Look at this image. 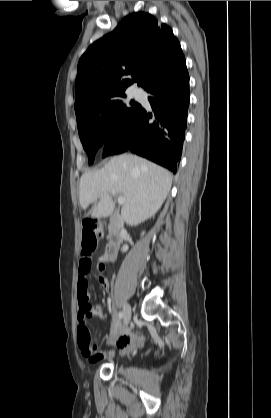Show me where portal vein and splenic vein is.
I'll use <instances>...</instances> for the list:
<instances>
[{
    "label": "portal vein and splenic vein",
    "instance_id": "obj_1",
    "mask_svg": "<svg viewBox=\"0 0 271 418\" xmlns=\"http://www.w3.org/2000/svg\"><path fill=\"white\" fill-rule=\"evenodd\" d=\"M126 202V200H125V198L124 197H119L118 198V204H120V205H123L124 203Z\"/></svg>",
    "mask_w": 271,
    "mask_h": 418
}]
</instances>
